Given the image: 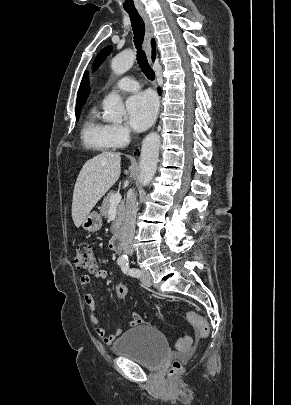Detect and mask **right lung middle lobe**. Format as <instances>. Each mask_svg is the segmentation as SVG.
Masks as SVG:
<instances>
[{"instance_id":"obj_1","label":"right lung middle lobe","mask_w":291,"mask_h":405,"mask_svg":"<svg viewBox=\"0 0 291 405\" xmlns=\"http://www.w3.org/2000/svg\"><path fill=\"white\" fill-rule=\"evenodd\" d=\"M81 108L76 109V119H79V114H80Z\"/></svg>"}]
</instances>
